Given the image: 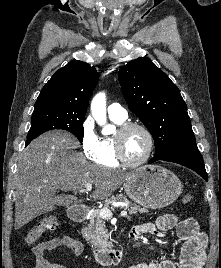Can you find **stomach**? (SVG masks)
Instances as JSON below:
<instances>
[{
  "label": "stomach",
  "instance_id": "stomach-1",
  "mask_svg": "<svg viewBox=\"0 0 221 268\" xmlns=\"http://www.w3.org/2000/svg\"><path fill=\"white\" fill-rule=\"evenodd\" d=\"M182 187L174 173L158 165H145L136 169L124 183L126 195L149 209H160L172 204L181 194Z\"/></svg>",
  "mask_w": 221,
  "mask_h": 268
}]
</instances>
